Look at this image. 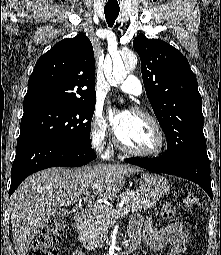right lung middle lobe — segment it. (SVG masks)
Here are the masks:
<instances>
[{"label":"right lung middle lobe","mask_w":221,"mask_h":255,"mask_svg":"<svg viewBox=\"0 0 221 255\" xmlns=\"http://www.w3.org/2000/svg\"><path fill=\"white\" fill-rule=\"evenodd\" d=\"M95 103L49 105L24 111L20 136H33L69 145L91 147Z\"/></svg>","instance_id":"right-lung-middle-lobe-1"}]
</instances>
